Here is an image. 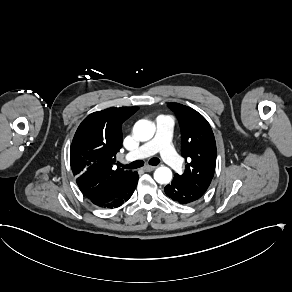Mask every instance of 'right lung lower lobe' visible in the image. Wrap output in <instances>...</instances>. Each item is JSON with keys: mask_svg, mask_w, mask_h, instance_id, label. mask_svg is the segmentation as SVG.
Here are the masks:
<instances>
[{"mask_svg": "<svg viewBox=\"0 0 292 292\" xmlns=\"http://www.w3.org/2000/svg\"><path fill=\"white\" fill-rule=\"evenodd\" d=\"M138 183V173L134 172L131 177H129L116 191L113 192L108 198L100 201L93 202L101 208H116L126 202L133 194Z\"/></svg>", "mask_w": 292, "mask_h": 292, "instance_id": "1", "label": "right lung lower lobe"}]
</instances>
